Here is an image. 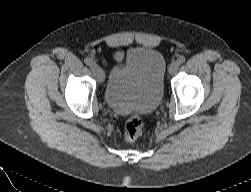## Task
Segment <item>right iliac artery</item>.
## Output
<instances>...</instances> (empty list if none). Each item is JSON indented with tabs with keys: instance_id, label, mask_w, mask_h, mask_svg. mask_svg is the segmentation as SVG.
<instances>
[{
	"instance_id": "1",
	"label": "right iliac artery",
	"mask_w": 251,
	"mask_h": 192,
	"mask_svg": "<svg viewBox=\"0 0 251 192\" xmlns=\"http://www.w3.org/2000/svg\"><path fill=\"white\" fill-rule=\"evenodd\" d=\"M84 62L87 64V65H89V66H91L94 62H93V59H91V58H89V57H86L85 59H84Z\"/></svg>"
}]
</instances>
